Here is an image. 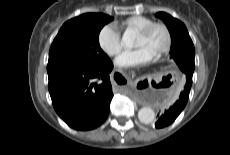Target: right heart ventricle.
<instances>
[{
	"label": "right heart ventricle",
	"instance_id": "e07e8e85",
	"mask_svg": "<svg viewBox=\"0 0 230 155\" xmlns=\"http://www.w3.org/2000/svg\"><path fill=\"white\" fill-rule=\"evenodd\" d=\"M153 22L154 21L148 17L137 15L129 17L122 21L121 26L126 31L138 32Z\"/></svg>",
	"mask_w": 230,
	"mask_h": 155
}]
</instances>
